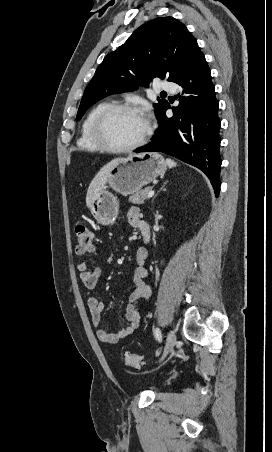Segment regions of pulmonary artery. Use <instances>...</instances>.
<instances>
[{"label":"pulmonary artery","mask_w":272,"mask_h":452,"mask_svg":"<svg viewBox=\"0 0 272 452\" xmlns=\"http://www.w3.org/2000/svg\"><path fill=\"white\" fill-rule=\"evenodd\" d=\"M159 89L164 92H175L177 91V84L172 81H162L159 85Z\"/></svg>","instance_id":"obj_1"}]
</instances>
